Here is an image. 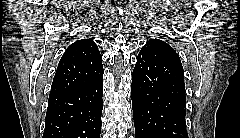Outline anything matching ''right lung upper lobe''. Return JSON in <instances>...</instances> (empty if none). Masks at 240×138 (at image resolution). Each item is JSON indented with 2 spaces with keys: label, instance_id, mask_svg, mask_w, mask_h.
Listing matches in <instances>:
<instances>
[{
  "label": "right lung upper lobe",
  "instance_id": "cb5924a9",
  "mask_svg": "<svg viewBox=\"0 0 240 138\" xmlns=\"http://www.w3.org/2000/svg\"><path fill=\"white\" fill-rule=\"evenodd\" d=\"M103 74L102 56L92 39L71 44L63 54L53 79L50 95L94 82Z\"/></svg>",
  "mask_w": 240,
  "mask_h": 138
}]
</instances>
